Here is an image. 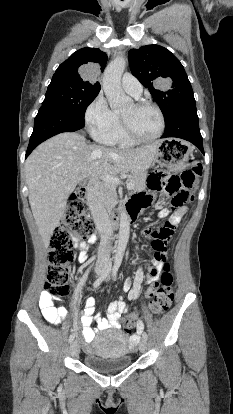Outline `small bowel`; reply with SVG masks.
<instances>
[{"label":"small bowel","instance_id":"1","mask_svg":"<svg viewBox=\"0 0 233 414\" xmlns=\"http://www.w3.org/2000/svg\"><path fill=\"white\" fill-rule=\"evenodd\" d=\"M152 199V195H146V194H137L133 197L131 201V209H133L136 214L143 208L147 207ZM187 213V207L181 206L177 208V210L170 216L169 222L167 226L174 227L180 223L182 218ZM161 215H166V211L163 210L161 212ZM93 242V239L91 238L88 242H79L78 248H79V255H78V261L80 263H83L88 258V250L90 247V244ZM163 267L162 261H155V271L151 269L147 274V284L149 285L148 290L151 289V287L157 282L159 278V273ZM143 270L140 267L136 272L135 281L132 286H126V288L129 290L128 298L129 300H135L139 294L140 287L143 282ZM59 301L52 295H50L48 292L44 291L41 292L39 296V307L41 310V313L43 317L50 323L59 325L61 324L62 320L65 317L66 311L63 306L56 305V302ZM135 308L134 306L132 307ZM126 310V303L123 299L119 298L116 300H113L108 306H105V309L103 310L104 317L97 316L95 318V322L97 325V328L99 330H104L109 327H118L119 323L118 320L122 313ZM94 311H95V299L90 297L86 300L82 317H81V323H82V337L84 340V348L86 350L90 349L89 343L93 341L95 337V330L91 327V324L94 320ZM141 321H138V324H141ZM143 324V323H142ZM143 330L142 327L137 326V332L138 334L141 333ZM137 339V335L132 337V340L135 341Z\"/></svg>","mask_w":233,"mask_h":414}]
</instances>
